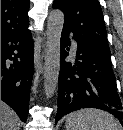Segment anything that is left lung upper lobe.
<instances>
[{"label": "left lung upper lobe", "instance_id": "1", "mask_svg": "<svg viewBox=\"0 0 123 130\" xmlns=\"http://www.w3.org/2000/svg\"><path fill=\"white\" fill-rule=\"evenodd\" d=\"M53 8L63 11V28L72 32L77 40L110 52L98 0H54Z\"/></svg>", "mask_w": 123, "mask_h": 130}]
</instances>
